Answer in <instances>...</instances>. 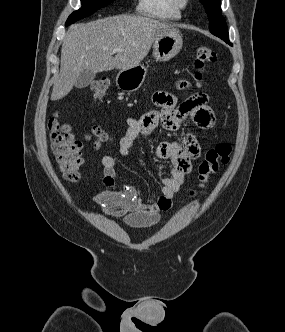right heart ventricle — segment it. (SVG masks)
Wrapping results in <instances>:
<instances>
[{
	"label": "right heart ventricle",
	"instance_id": "obj_1",
	"mask_svg": "<svg viewBox=\"0 0 285 332\" xmlns=\"http://www.w3.org/2000/svg\"><path fill=\"white\" fill-rule=\"evenodd\" d=\"M136 11L149 18L173 21L181 17V12L174 8L171 0H138Z\"/></svg>",
	"mask_w": 285,
	"mask_h": 332
}]
</instances>
